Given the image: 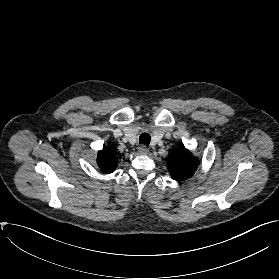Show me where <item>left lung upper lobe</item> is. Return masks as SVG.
I'll list each match as a JSON object with an SVG mask.
<instances>
[{"instance_id":"obj_1","label":"left lung upper lobe","mask_w":279,"mask_h":279,"mask_svg":"<svg viewBox=\"0 0 279 279\" xmlns=\"http://www.w3.org/2000/svg\"><path fill=\"white\" fill-rule=\"evenodd\" d=\"M197 166V158L184 148L175 151L167 159V168L172 178L178 181L191 177Z\"/></svg>"}]
</instances>
